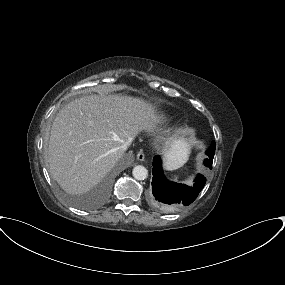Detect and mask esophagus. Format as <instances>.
I'll use <instances>...</instances> for the list:
<instances>
[{"mask_svg": "<svg viewBox=\"0 0 285 285\" xmlns=\"http://www.w3.org/2000/svg\"><path fill=\"white\" fill-rule=\"evenodd\" d=\"M144 158H145V155L143 152L140 151L137 153V160L138 161H144Z\"/></svg>", "mask_w": 285, "mask_h": 285, "instance_id": "obj_1", "label": "esophagus"}]
</instances>
